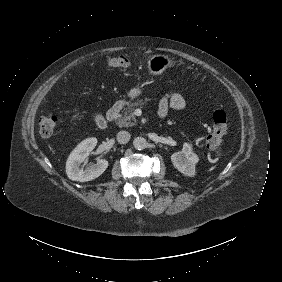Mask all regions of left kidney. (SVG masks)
Segmentation results:
<instances>
[{
    "label": "left kidney",
    "mask_w": 282,
    "mask_h": 282,
    "mask_svg": "<svg viewBox=\"0 0 282 282\" xmlns=\"http://www.w3.org/2000/svg\"><path fill=\"white\" fill-rule=\"evenodd\" d=\"M171 161L174 167L185 176H195V166L199 161V157L193 152L192 144L185 142L181 151L175 152L171 155Z\"/></svg>",
    "instance_id": "left-kidney-1"
}]
</instances>
